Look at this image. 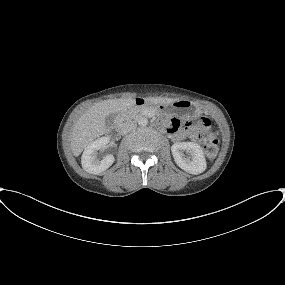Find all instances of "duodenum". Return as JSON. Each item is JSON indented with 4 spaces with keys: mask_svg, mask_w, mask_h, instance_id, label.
I'll return each mask as SVG.
<instances>
[{
    "mask_svg": "<svg viewBox=\"0 0 285 285\" xmlns=\"http://www.w3.org/2000/svg\"><path fill=\"white\" fill-rule=\"evenodd\" d=\"M131 104L137 107H144L146 105V100L143 98H136L131 101ZM121 129V124L120 122H116L114 127H113V132L118 133Z\"/></svg>",
    "mask_w": 285,
    "mask_h": 285,
    "instance_id": "obj_1",
    "label": "duodenum"
}]
</instances>
